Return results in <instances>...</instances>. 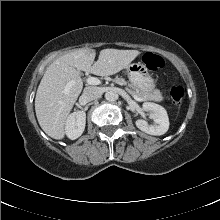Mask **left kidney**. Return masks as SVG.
Returning <instances> with one entry per match:
<instances>
[{
	"instance_id": "1",
	"label": "left kidney",
	"mask_w": 220,
	"mask_h": 220,
	"mask_svg": "<svg viewBox=\"0 0 220 220\" xmlns=\"http://www.w3.org/2000/svg\"><path fill=\"white\" fill-rule=\"evenodd\" d=\"M143 109L150 112L149 118L154 121V125H149L147 121L139 119L135 122L136 126L143 132L160 136L165 134L169 128V118L165 108L161 105L145 102Z\"/></svg>"
}]
</instances>
